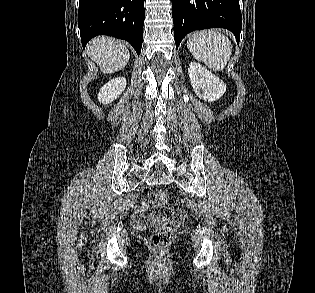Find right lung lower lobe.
Returning a JSON list of instances; mask_svg holds the SVG:
<instances>
[{"label": "right lung lower lobe", "instance_id": "1", "mask_svg": "<svg viewBox=\"0 0 315 293\" xmlns=\"http://www.w3.org/2000/svg\"><path fill=\"white\" fill-rule=\"evenodd\" d=\"M144 0H80L78 27L83 48L97 35H108L128 41L141 53Z\"/></svg>", "mask_w": 315, "mask_h": 293}]
</instances>
